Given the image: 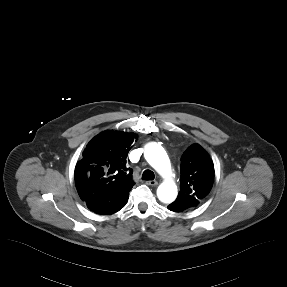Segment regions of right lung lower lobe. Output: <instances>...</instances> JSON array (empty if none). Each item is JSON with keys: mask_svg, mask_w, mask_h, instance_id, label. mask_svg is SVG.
Instances as JSON below:
<instances>
[{"mask_svg": "<svg viewBox=\"0 0 287 287\" xmlns=\"http://www.w3.org/2000/svg\"><path fill=\"white\" fill-rule=\"evenodd\" d=\"M130 190L117 188L112 191L96 192L84 196L88 208L97 214H113L124 207Z\"/></svg>", "mask_w": 287, "mask_h": 287, "instance_id": "right-lung-lower-lobe-1", "label": "right lung lower lobe"}]
</instances>
